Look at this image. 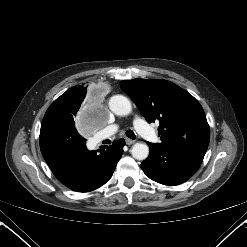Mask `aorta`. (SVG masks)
<instances>
[{
  "instance_id": "1",
  "label": "aorta",
  "mask_w": 247,
  "mask_h": 247,
  "mask_svg": "<svg viewBox=\"0 0 247 247\" xmlns=\"http://www.w3.org/2000/svg\"><path fill=\"white\" fill-rule=\"evenodd\" d=\"M110 110L119 116H126L131 113L132 105L128 98L123 95H114L109 100ZM133 158L145 160L149 155V147L145 143H135L131 149Z\"/></svg>"
}]
</instances>
